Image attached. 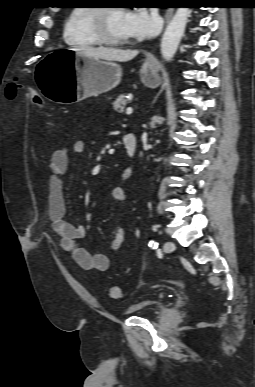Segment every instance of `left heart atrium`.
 I'll return each mask as SVG.
<instances>
[{
	"label": "left heart atrium",
	"mask_w": 255,
	"mask_h": 387,
	"mask_svg": "<svg viewBox=\"0 0 255 387\" xmlns=\"http://www.w3.org/2000/svg\"><path fill=\"white\" fill-rule=\"evenodd\" d=\"M161 27L159 17L140 8L126 12L124 29L130 38H150L156 35Z\"/></svg>",
	"instance_id": "obj_1"
}]
</instances>
